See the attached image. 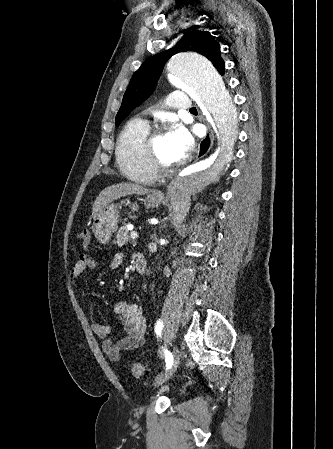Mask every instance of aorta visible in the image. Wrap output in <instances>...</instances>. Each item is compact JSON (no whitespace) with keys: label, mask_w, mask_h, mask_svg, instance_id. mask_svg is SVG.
<instances>
[{"label":"aorta","mask_w":333,"mask_h":449,"mask_svg":"<svg viewBox=\"0 0 333 449\" xmlns=\"http://www.w3.org/2000/svg\"><path fill=\"white\" fill-rule=\"evenodd\" d=\"M170 83L193 95L203 107L207 119L221 135L233 141L236 113L228 89L212 63L196 52H178L167 62ZM232 152L223 146L217 153L185 169L168 185L175 219L181 222L189 212L191 197L202 193L220 180Z\"/></svg>","instance_id":"1"}]
</instances>
